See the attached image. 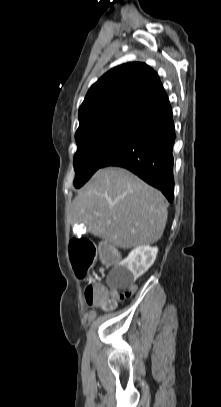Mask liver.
I'll return each instance as SVG.
<instances>
[{
  "instance_id": "6515ba94",
  "label": "liver",
  "mask_w": 221,
  "mask_h": 407,
  "mask_svg": "<svg viewBox=\"0 0 221 407\" xmlns=\"http://www.w3.org/2000/svg\"><path fill=\"white\" fill-rule=\"evenodd\" d=\"M76 222L114 246L129 249L157 242L167 222L163 194L130 171L98 170L73 200Z\"/></svg>"
}]
</instances>
